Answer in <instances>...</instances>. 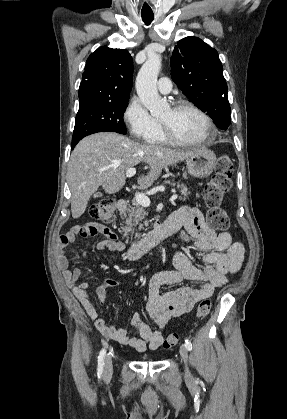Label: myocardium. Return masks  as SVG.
I'll list each match as a JSON object with an SVG mask.
<instances>
[{
  "mask_svg": "<svg viewBox=\"0 0 287 419\" xmlns=\"http://www.w3.org/2000/svg\"><path fill=\"white\" fill-rule=\"evenodd\" d=\"M174 109H190L194 112H196L204 121L206 129H207V133L205 134L204 137H202L201 139L195 140V141H186V140H182L180 138H177L176 136H174L169 129L161 122V127H162V134L164 139L166 140V142L174 144V145H180V146H200L203 144H206L207 142L213 140L216 136V128L211 120V118L208 116V114L203 111L200 107H198L197 105H195L192 102L189 101H180L178 103H176L173 106Z\"/></svg>",
  "mask_w": 287,
  "mask_h": 419,
  "instance_id": "f54148a6",
  "label": "myocardium"
}]
</instances>
